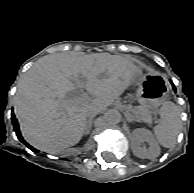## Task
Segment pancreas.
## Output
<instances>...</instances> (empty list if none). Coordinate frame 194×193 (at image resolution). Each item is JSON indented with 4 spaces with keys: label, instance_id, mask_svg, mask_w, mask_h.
Wrapping results in <instances>:
<instances>
[{
    "label": "pancreas",
    "instance_id": "cf45deb5",
    "mask_svg": "<svg viewBox=\"0 0 194 193\" xmlns=\"http://www.w3.org/2000/svg\"><path fill=\"white\" fill-rule=\"evenodd\" d=\"M129 109L132 111L131 118L134 119L137 122H147L151 123L152 122V115L150 114L149 111L141 110L138 107L136 108H131Z\"/></svg>",
    "mask_w": 194,
    "mask_h": 193
}]
</instances>
